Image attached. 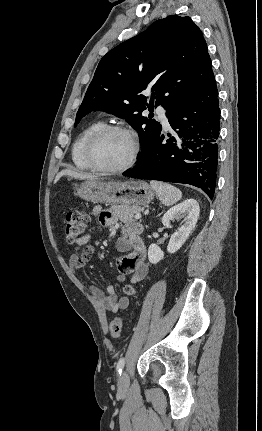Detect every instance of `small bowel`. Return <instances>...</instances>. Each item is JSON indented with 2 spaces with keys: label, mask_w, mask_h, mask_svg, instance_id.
Instances as JSON below:
<instances>
[{
  "label": "small bowel",
  "mask_w": 262,
  "mask_h": 431,
  "mask_svg": "<svg viewBox=\"0 0 262 431\" xmlns=\"http://www.w3.org/2000/svg\"><path fill=\"white\" fill-rule=\"evenodd\" d=\"M93 216L97 217L100 224L104 226H114L117 222L115 214L111 211L102 210L96 206L92 211ZM142 225L138 222H130L121 227V236L117 240L116 247L125 255L118 261L120 275L119 281H125L127 276L131 283L136 284L143 281L147 274V264L145 262L146 248L141 237ZM83 247L81 255L74 253L70 256V266L74 273H81L82 269L89 262L94 249L90 245V236L88 234L79 237L75 242V249ZM94 300L99 303L103 309L117 313L125 309L130 304L128 296L118 297L114 284H109L104 291L97 286L90 287Z\"/></svg>",
  "instance_id": "small-bowel-1"
}]
</instances>
